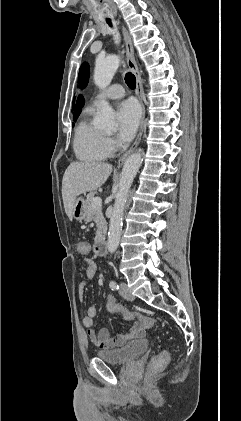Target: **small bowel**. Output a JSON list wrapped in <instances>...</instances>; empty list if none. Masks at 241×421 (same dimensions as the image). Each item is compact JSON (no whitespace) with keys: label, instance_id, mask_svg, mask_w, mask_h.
Masks as SVG:
<instances>
[{"label":"small bowel","instance_id":"c3829d8e","mask_svg":"<svg viewBox=\"0 0 241 421\" xmlns=\"http://www.w3.org/2000/svg\"><path fill=\"white\" fill-rule=\"evenodd\" d=\"M86 264L87 277L94 278L98 269L97 264L91 259H86ZM84 293L85 282H81L77 289V294L80 300L83 299ZM96 313V307L89 306L87 308L86 315L82 319V324L86 328L89 340L100 349L121 347L129 341L142 338L146 334L148 327L140 322H136L129 331L113 337L107 328L103 327L96 331L93 329L94 317L96 316Z\"/></svg>","mask_w":241,"mask_h":421}]
</instances>
